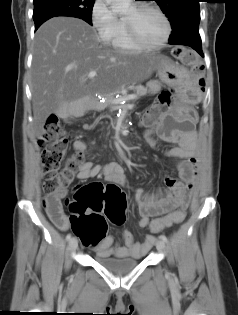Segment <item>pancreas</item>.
Wrapping results in <instances>:
<instances>
[{
	"label": "pancreas",
	"mask_w": 238,
	"mask_h": 315,
	"mask_svg": "<svg viewBox=\"0 0 238 315\" xmlns=\"http://www.w3.org/2000/svg\"><path fill=\"white\" fill-rule=\"evenodd\" d=\"M134 92L137 97H143L148 93V89L142 85H139L134 88ZM113 100H114V97L109 96L107 99L106 105H110Z\"/></svg>",
	"instance_id": "cf45deb5"
}]
</instances>
